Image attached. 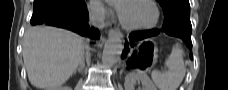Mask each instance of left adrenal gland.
I'll return each mask as SVG.
<instances>
[{
  "instance_id": "obj_1",
  "label": "left adrenal gland",
  "mask_w": 228,
  "mask_h": 90,
  "mask_svg": "<svg viewBox=\"0 0 228 90\" xmlns=\"http://www.w3.org/2000/svg\"><path fill=\"white\" fill-rule=\"evenodd\" d=\"M123 71H124V69H122V70L120 71V75H122Z\"/></svg>"
}]
</instances>
